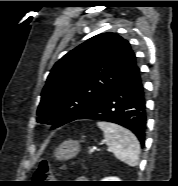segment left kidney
Masks as SVG:
<instances>
[{"label": "left kidney", "mask_w": 178, "mask_h": 186, "mask_svg": "<svg viewBox=\"0 0 178 186\" xmlns=\"http://www.w3.org/2000/svg\"><path fill=\"white\" fill-rule=\"evenodd\" d=\"M104 181H120V180L117 179L116 177H108V178L104 179Z\"/></svg>", "instance_id": "left-kidney-1"}]
</instances>
